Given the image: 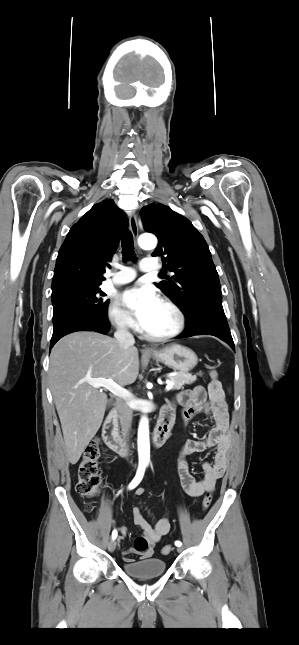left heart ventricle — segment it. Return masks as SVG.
I'll list each match as a JSON object with an SVG mask.
<instances>
[{"label": "left heart ventricle", "instance_id": "obj_1", "mask_svg": "<svg viewBox=\"0 0 299 645\" xmlns=\"http://www.w3.org/2000/svg\"><path fill=\"white\" fill-rule=\"evenodd\" d=\"M174 325L173 313L161 303L144 329L152 334H162L171 331Z\"/></svg>", "mask_w": 299, "mask_h": 645}]
</instances>
